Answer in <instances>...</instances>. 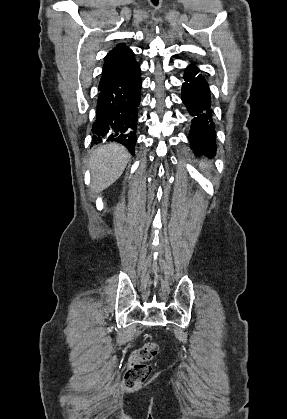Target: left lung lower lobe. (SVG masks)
<instances>
[{
  "label": "left lung lower lobe",
  "instance_id": "obj_1",
  "mask_svg": "<svg viewBox=\"0 0 287 419\" xmlns=\"http://www.w3.org/2000/svg\"><path fill=\"white\" fill-rule=\"evenodd\" d=\"M196 66L187 67L182 85V101L188 108L191 120L190 146L195 155L216 154V131L212 119L210 90Z\"/></svg>",
  "mask_w": 287,
  "mask_h": 419
}]
</instances>
